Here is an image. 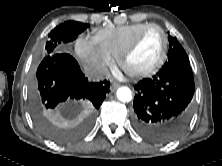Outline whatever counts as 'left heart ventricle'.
I'll use <instances>...</instances> for the list:
<instances>
[{
    "mask_svg": "<svg viewBox=\"0 0 222 166\" xmlns=\"http://www.w3.org/2000/svg\"><path fill=\"white\" fill-rule=\"evenodd\" d=\"M162 46L161 33L155 29L148 31L126 59L127 70L142 71L153 66L161 54Z\"/></svg>",
    "mask_w": 222,
    "mask_h": 166,
    "instance_id": "1",
    "label": "left heart ventricle"
}]
</instances>
